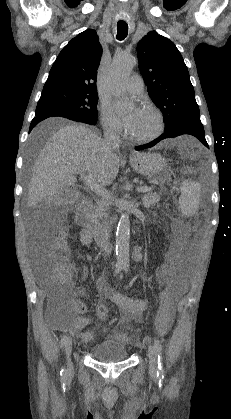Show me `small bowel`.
Wrapping results in <instances>:
<instances>
[{
    "instance_id": "c3829d8e",
    "label": "small bowel",
    "mask_w": 231,
    "mask_h": 419,
    "mask_svg": "<svg viewBox=\"0 0 231 419\" xmlns=\"http://www.w3.org/2000/svg\"><path fill=\"white\" fill-rule=\"evenodd\" d=\"M91 238L86 236L84 233L81 235V241L83 244L88 245ZM179 249L169 251L165 256V261L161 272L159 274L160 280L165 281L171 269V266L179 256ZM87 271L86 269L83 270V277H86ZM98 287V296L103 301L105 299H109L113 302L118 309L120 310L121 314V321L123 324L129 323L135 319H138L149 307L150 302L147 300H136L131 299L129 297L124 296L123 294L115 291L112 287H110L104 279H100L97 282ZM102 306H105L103 302L99 303L97 306V313L98 309ZM74 310L78 314L75 316L69 328L78 336H80L85 342H90L93 338V333L90 331H85V327L89 325L90 320L84 316L87 311L86 305L80 301H74ZM114 336L121 338L122 334L119 332H114Z\"/></svg>"
}]
</instances>
